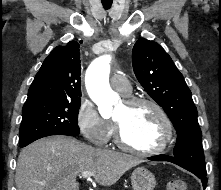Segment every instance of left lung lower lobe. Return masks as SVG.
<instances>
[{
  "instance_id": "1",
  "label": "left lung lower lobe",
  "mask_w": 221,
  "mask_h": 190,
  "mask_svg": "<svg viewBox=\"0 0 221 190\" xmlns=\"http://www.w3.org/2000/svg\"><path fill=\"white\" fill-rule=\"evenodd\" d=\"M149 160H153V161H168V162H172L190 172H192L193 174H195L198 178L201 179L202 183H203V188H206V184H207V178H206V168H202V167H198L195 165H192L188 162L185 161H181L180 159H178L175 156H167V155H157V156H152L148 158Z\"/></svg>"
}]
</instances>
